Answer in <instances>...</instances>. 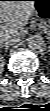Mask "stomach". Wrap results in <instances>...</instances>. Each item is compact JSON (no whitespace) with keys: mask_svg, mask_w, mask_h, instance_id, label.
Listing matches in <instances>:
<instances>
[{"mask_svg":"<svg viewBox=\"0 0 50 111\" xmlns=\"http://www.w3.org/2000/svg\"><path fill=\"white\" fill-rule=\"evenodd\" d=\"M34 14L43 24L50 23V0H35Z\"/></svg>","mask_w":50,"mask_h":111,"instance_id":"1","label":"stomach"}]
</instances>
